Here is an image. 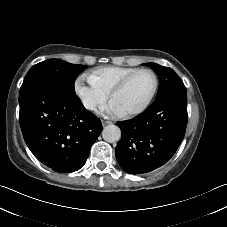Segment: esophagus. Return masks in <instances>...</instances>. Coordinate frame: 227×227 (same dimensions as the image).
Returning <instances> with one entry per match:
<instances>
[{"label":"esophagus","instance_id":"1","mask_svg":"<svg viewBox=\"0 0 227 227\" xmlns=\"http://www.w3.org/2000/svg\"><path fill=\"white\" fill-rule=\"evenodd\" d=\"M102 124H103V126H106V125L112 124V121L103 120Z\"/></svg>","mask_w":227,"mask_h":227}]
</instances>
